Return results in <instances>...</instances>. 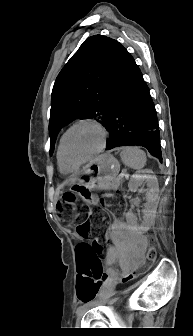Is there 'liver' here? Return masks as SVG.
<instances>
[{
  "instance_id": "liver-1",
  "label": "liver",
  "mask_w": 193,
  "mask_h": 336,
  "mask_svg": "<svg viewBox=\"0 0 193 336\" xmlns=\"http://www.w3.org/2000/svg\"><path fill=\"white\" fill-rule=\"evenodd\" d=\"M92 163V162H91ZM89 165L85 166L83 168V171L88 167ZM77 180V175H74L72 178L69 179L70 184H73Z\"/></svg>"
}]
</instances>
